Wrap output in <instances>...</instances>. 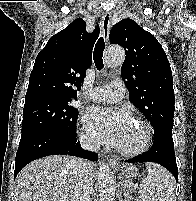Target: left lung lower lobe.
I'll list each match as a JSON object with an SVG mask.
<instances>
[{"mask_svg": "<svg viewBox=\"0 0 196 201\" xmlns=\"http://www.w3.org/2000/svg\"><path fill=\"white\" fill-rule=\"evenodd\" d=\"M128 163L136 162H155L167 170H169L178 180V168L176 164V157L174 152V143L172 138V129L157 131L154 133V143L151 150L142 155H138L130 160Z\"/></svg>", "mask_w": 196, "mask_h": 201, "instance_id": "obj_1", "label": "left lung lower lobe"}]
</instances>
